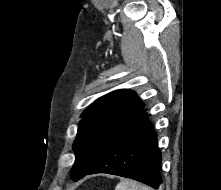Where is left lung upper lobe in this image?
I'll use <instances>...</instances> for the list:
<instances>
[{
    "label": "left lung upper lobe",
    "instance_id": "left-lung-upper-lobe-1",
    "mask_svg": "<svg viewBox=\"0 0 221 190\" xmlns=\"http://www.w3.org/2000/svg\"><path fill=\"white\" fill-rule=\"evenodd\" d=\"M144 106L135 92L121 89L98 98L85 109L73 143L76 156L71 171L73 181L92 168L112 138Z\"/></svg>",
    "mask_w": 221,
    "mask_h": 190
}]
</instances>
